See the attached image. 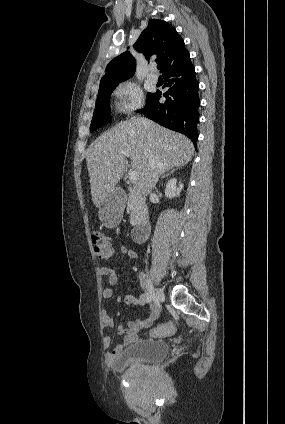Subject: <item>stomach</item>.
Masks as SVG:
<instances>
[{
    "label": "stomach",
    "instance_id": "stomach-1",
    "mask_svg": "<svg viewBox=\"0 0 285 424\" xmlns=\"http://www.w3.org/2000/svg\"><path fill=\"white\" fill-rule=\"evenodd\" d=\"M125 200L111 192L99 206L98 216L100 221L108 228L115 227L122 218Z\"/></svg>",
    "mask_w": 285,
    "mask_h": 424
}]
</instances>
